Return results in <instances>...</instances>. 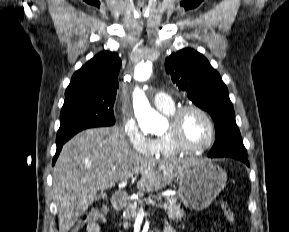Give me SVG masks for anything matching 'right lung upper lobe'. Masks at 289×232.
I'll list each match as a JSON object with an SVG mask.
<instances>
[{
	"instance_id": "1",
	"label": "right lung upper lobe",
	"mask_w": 289,
	"mask_h": 232,
	"mask_svg": "<svg viewBox=\"0 0 289 232\" xmlns=\"http://www.w3.org/2000/svg\"><path fill=\"white\" fill-rule=\"evenodd\" d=\"M120 67L121 59L117 53L100 52L74 73L65 92V101L92 96L116 98Z\"/></svg>"
}]
</instances>
